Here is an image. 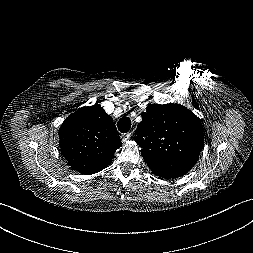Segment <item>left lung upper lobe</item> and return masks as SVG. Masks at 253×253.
I'll return each mask as SVG.
<instances>
[{
    "label": "left lung upper lobe",
    "instance_id": "left-lung-upper-lobe-1",
    "mask_svg": "<svg viewBox=\"0 0 253 253\" xmlns=\"http://www.w3.org/2000/svg\"><path fill=\"white\" fill-rule=\"evenodd\" d=\"M134 140L145 163L166 179L185 175L204 147L201 120L186 107L169 103L149 104L142 113Z\"/></svg>",
    "mask_w": 253,
    "mask_h": 253
}]
</instances>
